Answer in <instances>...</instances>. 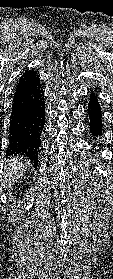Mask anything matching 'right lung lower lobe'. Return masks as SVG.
Here are the masks:
<instances>
[{"label":"right lung lower lobe","instance_id":"1","mask_svg":"<svg viewBox=\"0 0 113 279\" xmlns=\"http://www.w3.org/2000/svg\"><path fill=\"white\" fill-rule=\"evenodd\" d=\"M44 124V92L39 76L34 70H28L16 85L6 154L28 157L37 166Z\"/></svg>","mask_w":113,"mask_h":279}]
</instances>
